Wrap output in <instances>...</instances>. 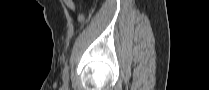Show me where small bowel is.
Segmentation results:
<instances>
[{
	"mask_svg": "<svg viewBox=\"0 0 209 90\" xmlns=\"http://www.w3.org/2000/svg\"><path fill=\"white\" fill-rule=\"evenodd\" d=\"M66 3L70 9L76 11V6L72 0H67ZM76 18L79 22H83L85 19L84 15L79 12H76Z\"/></svg>",
	"mask_w": 209,
	"mask_h": 90,
	"instance_id": "c3829d8e",
	"label": "small bowel"
}]
</instances>
